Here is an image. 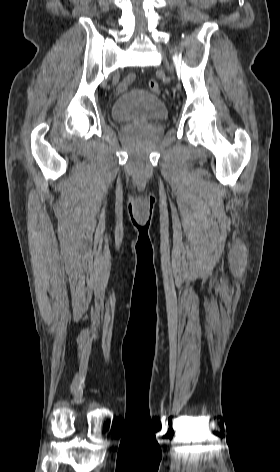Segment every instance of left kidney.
<instances>
[{
	"label": "left kidney",
	"mask_w": 280,
	"mask_h": 472,
	"mask_svg": "<svg viewBox=\"0 0 280 472\" xmlns=\"http://www.w3.org/2000/svg\"><path fill=\"white\" fill-rule=\"evenodd\" d=\"M190 1L197 5H203V2H204V0H190ZM220 1H225V0H220Z\"/></svg>",
	"instance_id": "obj_1"
}]
</instances>
